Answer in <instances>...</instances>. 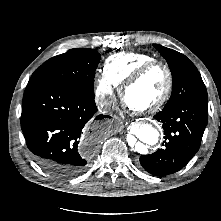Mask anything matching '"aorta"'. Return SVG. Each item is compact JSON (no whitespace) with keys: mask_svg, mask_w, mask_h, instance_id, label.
Returning <instances> with one entry per match:
<instances>
[{"mask_svg":"<svg viewBox=\"0 0 221 221\" xmlns=\"http://www.w3.org/2000/svg\"><path fill=\"white\" fill-rule=\"evenodd\" d=\"M133 133L141 142L131 139L128 142L138 153L146 152V147L143 143L154 145L158 142L159 132L151 124L139 123L133 128Z\"/></svg>","mask_w":221,"mask_h":221,"instance_id":"1","label":"aorta"}]
</instances>
